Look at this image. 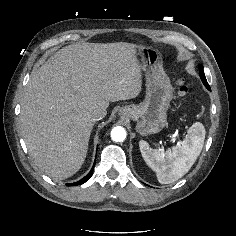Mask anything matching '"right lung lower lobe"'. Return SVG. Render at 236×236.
Wrapping results in <instances>:
<instances>
[{
  "instance_id": "1",
  "label": "right lung lower lobe",
  "mask_w": 236,
  "mask_h": 236,
  "mask_svg": "<svg viewBox=\"0 0 236 236\" xmlns=\"http://www.w3.org/2000/svg\"><path fill=\"white\" fill-rule=\"evenodd\" d=\"M94 166H95V163H94V165H93L91 171H90L83 179H81L80 181L75 182V183H69V184H67V186L80 185V184L86 182V181L92 176Z\"/></svg>"
}]
</instances>
